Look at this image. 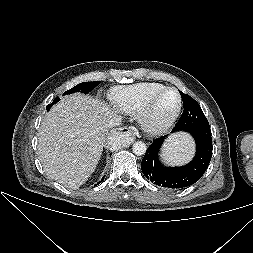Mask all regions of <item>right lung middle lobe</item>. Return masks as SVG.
<instances>
[{
    "label": "right lung middle lobe",
    "instance_id": "right-lung-middle-lobe-1",
    "mask_svg": "<svg viewBox=\"0 0 253 253\" xmlns=\"http://www.w3.org/2000/svg\"><path fill=\"white\" fill-rule=\"evenodd\" d=\"M98 84H100V81H95V82H83V83H80L78 85H76L75 87H73L72 89L66 91L64 93L65 94H71V93H75V92H81V93H89L91 90H93ZM60 100L59 97H56L53 102L51 104H49L46 108L47 110L50 109V107L58 102Z\"/></svg>",
    "mask_w": 253,
    "mask_h": 253
}]
</instances>
